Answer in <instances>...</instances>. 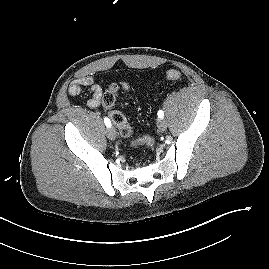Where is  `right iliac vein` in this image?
<instances>
[{
  "label": "right iliac vein",
  "instance_id": "63e3f726",
  "mask_svg": "<svg viewBox=\"0 0 269 269\" xmlns=\"http://www.w3.org/2000/svg\"><path fill=\"white\" fill-rule=\"evenodd\" d=\"M106 133H107V136H108L109 139L115 140V138H116V131H115V129L113 127H109L107 129Z\"/></svg>",
  "mask_w": 269,
  "mask_h": 269
}]
</instances>
